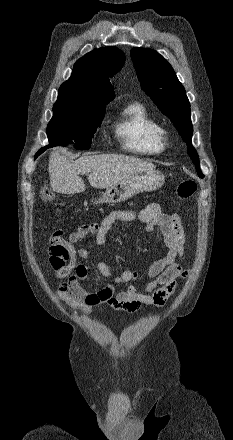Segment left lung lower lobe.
Here are the masks:
<instances>
[{
    "mask_svg": "<svg viewBox=\"0 0 233 440\" xmlns=\"http://www.w3.org/2000/svg\"><path fill=\"white\" fill-rule=\"evenodd\" d=\"M198 175H199L200 177H203V174H202V173H198Z\"/></svg>",
    "mask_w": 233,
    "mask_h": 440,
    "instance_id": "obj_1",
    "label": "left lung lower lobe"
}]
</instances>
